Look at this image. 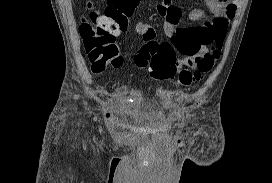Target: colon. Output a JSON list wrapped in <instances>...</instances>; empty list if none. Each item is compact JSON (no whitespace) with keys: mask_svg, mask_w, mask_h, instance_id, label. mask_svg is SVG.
<instances>
[{"mask_svg":"<svg viewBox=\"0 0 272 183\" xmlns=\"http://www.w3.org/2000/svg\"><path fill=\"white\" fill-rule=\"evenodd\" d=\"M138 3L139 0H108L102 11L97 7L96 0L86 1L79 33L93 72L101 73L107 67H119L122 64L115 37L127 29L128 20ZM176 51L168 42H147L136 56V64L147 68L157 80L172 79L179 70ZM220 52L218 41L210 51L195 61L194 67L181 68L180 83L188 86L201 80L212 69Z\"/></svg>","mask_w":272,"mask_h":183,"instance_id":"obj_1","label":"colon"}]
</instances>
